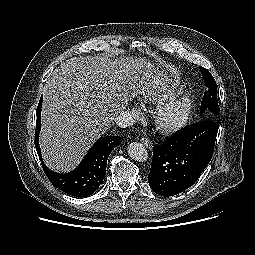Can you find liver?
Segmentation results:
<instances>
[{"label": "liver", "instance_id": "liver-1", "mask_svg": "<svg viewBox=\"0 0 255 255\" xmlns=\"http://www.w3.org/2000/svg\"><path fill=\"white\" fill-rule=\"evenodd\" d=\"M165 84L144 59L102 55L63 62L43 90L40 145L47 166L73 169L134 96Z\"/></svg>", "mask_w": 255, "mask_h": 255}]
</instances>
